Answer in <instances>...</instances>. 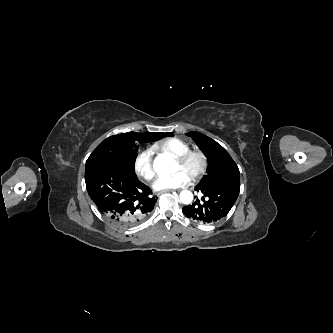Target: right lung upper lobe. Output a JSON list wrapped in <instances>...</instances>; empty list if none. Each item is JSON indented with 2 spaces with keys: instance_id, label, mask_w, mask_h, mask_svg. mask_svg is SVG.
Instances as JSON below:
<instances>
[{
  "instance_id": "right-lung-upper-lobe-1",
  "label": "right lung upper lobe",
  "mask_w": 333,
  "mask_h": 333,
  "mask_svg": "<svg viewBox=\"0 0 333 333\" xmlns=\"http://www.w3.org/2000/svg\"><path fill=\"white\" fill-rule=\"evenodd\" d=\"M127 135L134 137L136 139H138V141H143V140H147V139H151V140H158L159 138L156 137L157 133H136V132H129L126 133Z\"/></svg>"
}]
</instances>
